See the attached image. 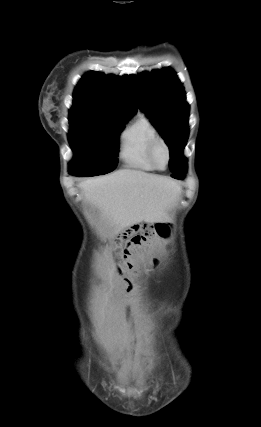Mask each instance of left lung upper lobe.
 <instances>
[{"label": "left lung upper lobe", "mask_w": 261, "mask_h": 427, "mask_svg": "<svg viewBox=\"0 0 261 427\" xmlns=\"http://www.w3.org/2000/svg\"><path fill=\"white\" fill-rule=\"evenodd\" d=\"M130 81L140 108L170 149L171 171L180 172L187 165L183 149L189 134V105L182 84L171 68L131 75Z\"/></svg>", "instance_id": "1"}]
</instances>
